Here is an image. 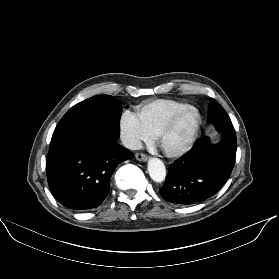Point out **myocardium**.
<instances>
[{"mask_svg": "<svg viewBox=\"0 0 279 279\" xmlns=\"http://www.w3.org/2000/svg\"><path fill=\"white\" fill-rule=\"evenodd\" d=\"M188 111H193L196 113L197 122H196V125L194 126V128L192 129V131L190 132L187 140L180 148H178L176 150L165 149L163 147L164 138L169 134V132L172 130L173 126L179 120V118ZM201 124H202V117H201L199 110L196 107L189 105L187 107H184V108L176 111L169 117V119L164 123V125L157 132L155 139H156L158 147L169 158H178V157L183 156L192 147V145L195 141V138L200 130Z\"/></svg>", "mask_w": 279, "mask_h": 279, "instance_id": "f54148a6", "label": "myocardium"}]
</instances>
